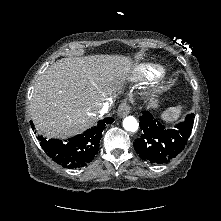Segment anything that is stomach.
<instances>
[{"label":"stomach","instance_id":"0dacf381","mask_svg":"<svg viewBox=\"0 0 221 221\" xmlns=\"http://www.w3.org/2000/svg\"><path fill=\"white\" fill-rule=\"evenodd\" d=\"M149 105H150V107H153V108L158 107V101H157V99H154V98L150 99Z\"/></svg>","mask_w":221,"mask_h":221}]
</instances>
